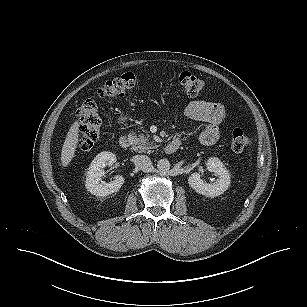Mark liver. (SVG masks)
I'll return each mask as SVG.
<instances>
[{
  "mask_svg": "<svg viewBox=\"0 0 307 307\" xmlns=\"http://www.w3.org/2000/svg\"><path fill=\"white\" fill-rule=\"evenodd\" d=\"M78 131H79V122L76 121L71 125L62 147L61 164L63 167H67L70 164L73 157L75 156V151L79 141Z\"/></svg>",
  "mask_w": 307,
  "mask_h": 307,
  "instance_id": "liver-1",
  "label": "liver"
}]
</instances>
